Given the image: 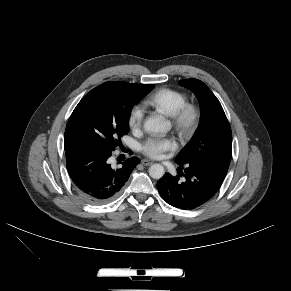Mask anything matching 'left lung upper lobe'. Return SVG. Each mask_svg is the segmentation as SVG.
I'll use <instances>...</instances> for the list:
<instances>
[{"label": "left lung upper lobe", "instance_id": "obj_1", "mask_svg": "<svg viewBox=\"0 0 291 291\" xmlns=\"http://www.w3.org/2000/svg\"><path fill=\"white\" fill-rule=\"evenodd\" d=\"M180 85L196 94L201 114L195 134L181 150L175 162L183 166L202 161L228 168L232 154V134L219 100L198 79H184Z\"/></svg>", "mask_w": 291, "mask_h": 291}]
</instances>
